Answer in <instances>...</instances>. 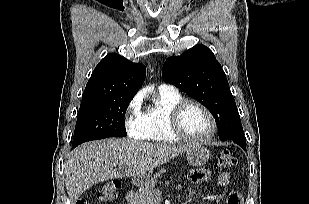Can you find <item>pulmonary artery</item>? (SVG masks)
Returning a JSON list of instances; mask_svg holds the SVG:
<instances>
[{"label":"pulmonary artery","mask_w":309,"mask_h":204,"mask_svg":"<svg viewBox=\"0 0 309 204\" xmlns=\"http://www.w3.org/2000/svg\"><path fill=\"white\" fill-rule=\"evenodd\" d=\"M159 91L161 92H176V88L172 85H168V84H161L159 86Z\"/></svg>","instance_id":"1"}]
</instances>
